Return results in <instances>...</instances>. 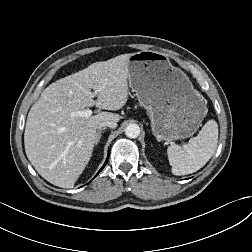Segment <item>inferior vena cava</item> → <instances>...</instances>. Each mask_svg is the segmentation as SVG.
Returning a JSON list of instances; mask_svg holds the SVG:
<instances>
[{"mask_svg":"<svg viewBox=\"0 0 252 252\" xmlns=\"http://www.w3.org/2000/svg\"><path fill=\"white\" fill-rule=\"evenodd\" d=\"M117 124L112 121H103L98 124V128L101 129L102 127H110V128H115Z\"/></svg>","mask_w":252,"mask_h":252,"instance_id":"inferior-vena-cava-1","label":"inferior vena cava"}]
</instances>
